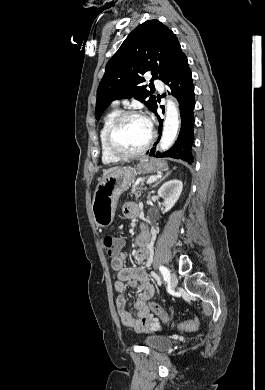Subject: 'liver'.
Wrapping results in <instances>:
<instances>
[{"instance_id":"1","label":"liver","mask_w":265,"mask_h":390,"mask_svg":"<svg viewBox=\"0 0 265 390\" xmlns=\"http://www.w3.org/2000/svg\"><path fill=\"white\" fill-rule=\"evenodd\" d=\"M118 168H119V167H112V168H109V169L105 170V171L103 172V178L106 177L109 173H111V172L117 170Z\"/></svg>"}]
</instances>
